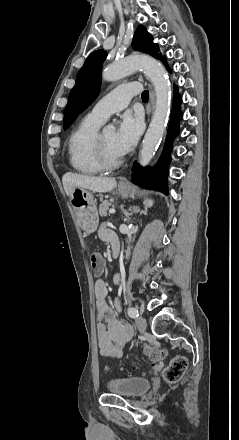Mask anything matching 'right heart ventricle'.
Wrapping results in <instances>:
<instances>
[{
	"instance_id": "obj_1",
	"label": "right heart ventricle",
	"mask_w": 239,
	"mask_h": 440,
	"mask_svg": "<svg viewBox=\"0 0 239 440\" xmlns=\"http://www.w3.org/2000/svg\"><path fill=\"white\" fill-rule=\"evenodd\" d=\"M99 124L100 122L87 115L69 135V163L79 173L94 175L102 172L93 153V141Z\"/></svg>"
}]
</instances>
